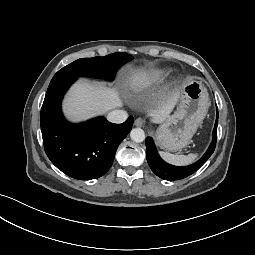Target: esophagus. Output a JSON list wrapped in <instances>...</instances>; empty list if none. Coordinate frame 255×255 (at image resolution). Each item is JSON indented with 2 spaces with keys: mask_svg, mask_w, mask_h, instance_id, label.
Here are the masks:
<instances>
[{
  "mask_svg": "<svg viewBox=\"0 0 255 255\" xmlns=\"http://www.w3.org/2000/svg\"><path fill=\"white\" fill-rule=\"evenodd\" d=\"M134 124L137 126V127H142L144 125V122L141 118H137L134 122Z\"/></svg>",
  "mask_w": 255,
  "mask_h": 255,
  "instance_id": "obj_1",
  "label": "esophagus"
}]
</instances>
